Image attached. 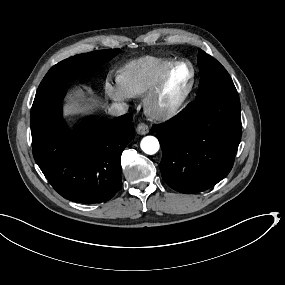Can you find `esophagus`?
I'll return each instance as SVG.
<instances>
[{
    "label": "esophagus",
    "mask_w": 285,
    "mask_h": 285,
    "mask_svg": "<svg viewBox=\"0 0 285 285\" xmlns=\"http://www.w3.org/2000/svg\"><path fill=\"white\" fill-rule=\"evenodd\" d=\"M136 131L140 135H145L149 132V127L145 123L141 122L137 125Z\"/></svg>",
    "instance_id": "obj_1"
}]
</instances>
